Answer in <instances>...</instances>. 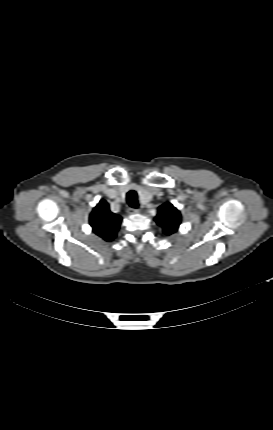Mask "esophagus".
<instances>
[{
    "label": "esophagus",
    "mask_w": 273,
    "mask_h": 430,
    "mask_svg": "<svg viewBox=\"0 0 273 430\" xmlns=\"http://www.w3.org/2000/svg\"><path fill=\"white\" fill-rule=\"evenodd\" d=\"M127 212H128L130 215H134V214H138V213H140V210H139V209H135V208H128Z\"/></svg>",
    "instance_id": "obj_1"
}]
</instances>
